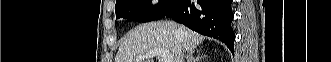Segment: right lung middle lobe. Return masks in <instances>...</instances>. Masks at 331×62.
Instances as JSON below:
<instances>
[{
	"mask_svg": "<svg viewBox=\"0 0 331 62\" xmlns=\"http://www.w3.org/2000/svg\"><path fill=\"white\" fill-rule=\"evenodd\" d=\"M180 0H160L156 6L150 0H118L115 5L116 18L150 22L163 18Z\"/></svg>",
	"mask_w": 331,
	"mask_h": 62,
	"instance_id": "right-lung-middle-lobe-1",
	"label": "right lung middle lobe"
}]
</instances>
